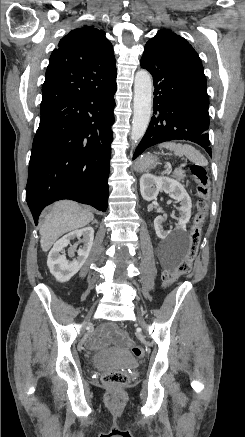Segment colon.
<instances>
[{"mask_svg":"<svg viewBox=\"0 0 245 437\" xmlns=\"http://www.w3.org/2000/svg\"><path fill=\"white\" fill-rule=\"evenodd\" d=\"M191 173L197 186L196 193L199 198L197 213L189 233V245L185 257L176 267L163 272L162 280L166 287L173 285L179 277L191 270L201 241V229L206 215L207 199L210 194V180L206 168L202 165H193ZM131 352L135 357L140 358L144 355L145 350L140 345H134ZM128 379L127 374L121 371L106 372L102 376V381L105 384L116 387L125 385Z\"/></svg>","mask_w":245,"mask_h":437,"instance_id":"5ec220e1","label":"colon"}]
</instances>
